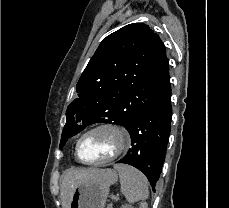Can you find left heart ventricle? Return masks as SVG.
I'll return each mask as SVG.
<instances>
[{
  "label": "left heart ventricle",
  "instance_id": "obj_1",
  "mask_svg": "<svg viewBox=\"0 0 229 208\" xmlns=\"http://www.w3.org/2000/svg\"><path fill=\"white\" fill-rule=\"evenodd\" d=\"M112 130V129H100ZM88 133L81 141V155L86 160H101L115 154L120 147H114L113 143L109 142L108 135H101L100 139H90Z\"/></svg>",
  "mask_w": 229,
  "mask_h": 208
}]
</instances>
